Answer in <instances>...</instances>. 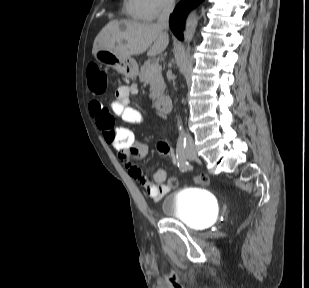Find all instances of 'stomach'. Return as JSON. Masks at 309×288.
Here are the masks:
<instances>
[{"label":"stomach","instance_id":"0dacf381","mask_svg":"<svg viewBox=\"0 0 309 288\" xmlns=\"http://www.w3.org/2000/svg\"><path fill=\"white\" fill-rule=\"evenodd\" d=\"M94 59L107 67L116 69L130 79H136L138 75V65L132 57H124L112 51L101 49L94 54Z\"/></svg>","mask_w":309,"mask_h":288}]
</instances>
